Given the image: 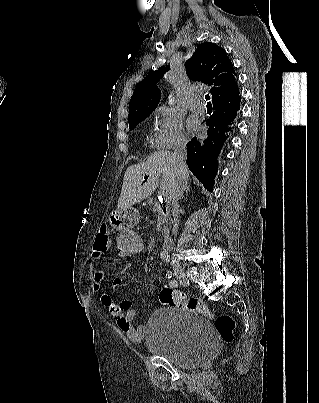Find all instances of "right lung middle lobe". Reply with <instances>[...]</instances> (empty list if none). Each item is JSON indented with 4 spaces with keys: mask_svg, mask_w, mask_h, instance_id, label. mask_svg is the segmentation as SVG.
<instances>
[{
    "mask_svg": "<svg viewBox=\"0 0 319 403\" xmlns=\"http://www.w3.org/2000/svg\"><path fill=\"white\" fill-rule=\"evenodd\" d=\"M151 114V113H150ZM149 114L140 117L138 119L132 120V121H128L129 122V128L133 129L139 122H141L142 120H144Z\"/></svg>",
    "mask_w": 319,
    "mask_h": 403,
    "instance_id": "right-lung-middle-lobe-1",
    "label": "right lung middle lobe"
}]
</instances>
